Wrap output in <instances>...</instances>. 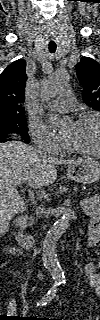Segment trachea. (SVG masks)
Listing matches in <instances>:
<instances>
[{"label": "trachea", "instance_id": "obj_1", "mask_svg": "<svg viewBox=\"0 0 100 320\" xmlns=\"http://www.w3.org/2000/svg\"><path fill=\"white\" fill-rule=\"evenodd\" d=\"M50 53H54L56 51V45H49Z\"/></svg>", "mask_w": 100, "mask_h": 320}]
</instances>
